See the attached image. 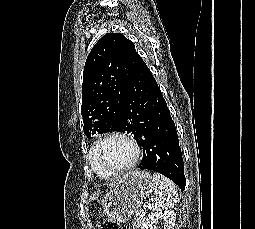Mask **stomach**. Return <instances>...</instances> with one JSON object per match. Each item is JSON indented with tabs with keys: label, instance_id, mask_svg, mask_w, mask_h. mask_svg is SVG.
<instances>
[{
	"label": "stomach",
	"instance_id": "0dacf381",
	"mask_svg": "<svg viewBox=\"0 0 255 229\" xmlns=\"http://www.w3.org/2000/svg\"><path fill=\"white\" fill-rule=\"evenodd\" d=\"M155 184L147 171H130L122 176L114 188L105 196L104 214L117 222H126L138 211L143 199L148 197Z\"/></svg>",
	"mask_w": 255,
	"mask_h": 229
}]
</instances>
